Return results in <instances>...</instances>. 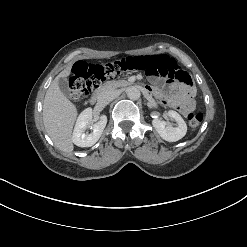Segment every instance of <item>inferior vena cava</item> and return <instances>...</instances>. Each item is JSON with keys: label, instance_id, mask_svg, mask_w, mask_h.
I'll return each mask as SVG.
<instances>
[{"label": "inferior vena cava", "instance_id": "inferior-vena-cava-1", "mask_svg": "<svg viewBox=\"0 0 247 247\" xmlns=\"http://www.w3.org/2000/svg\"><path fill=\"white\" fill-rule=\"evenodd\" d=\"M117 96L118 92L116 90H106L100 93L98 101L107 104L114 100Z\"/></svg>", "mask_w": 247, "mask_h": 247}]
</instances>
